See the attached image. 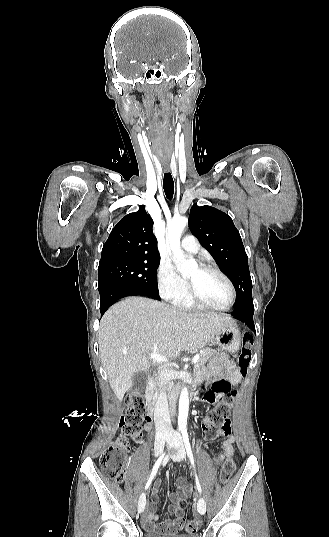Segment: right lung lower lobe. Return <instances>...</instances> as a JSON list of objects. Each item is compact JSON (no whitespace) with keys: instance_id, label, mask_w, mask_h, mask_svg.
<instances>
[{"instance_id":"right-lung-lower-lobe-1","label":"right lung lower lobe","mask_w":329,"mask_h":537,"mask_svg":"<svg viewBox=\"0 0 329 537\" xmlns=\"http://www.w3.org/2000/svg\"><path fill=\"white\" fill-rule=\"evenodd\" d=\"M100 293V312L101 316L105 313L107 308L119 300L120 298L126 296H147L154 299H160L159 293H155L146 289L128 287L115 284H105L99 286Z\"/></svg>"}]
</instances>
